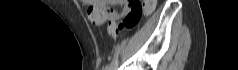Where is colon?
I'll return each mask as SVG.
<instances>
[{
    "label": "colon",
    "instance_id": "colon-1",
    "mask_svg": "<svg viewBox=\"0 0 238 70\" xmlns=\"http://www.w3.org/2000/svg\"><path fill=\"white\" fill-rule=\"evenodd\" d=\"M128 14L126 15L123 26L126 28L135 27L144 13H151L155 6L156 0H145L141 2L139 0H128ZM120 25H118V19H109L108 33L111 37H115L118 34Z\"/></svg>",
    "mask_w": 238,
    "mask_h": 70
}]
</instances>
